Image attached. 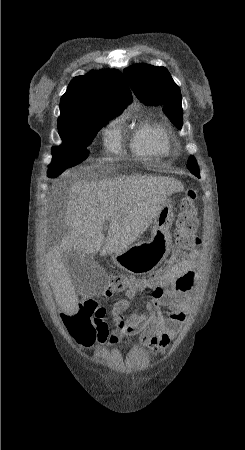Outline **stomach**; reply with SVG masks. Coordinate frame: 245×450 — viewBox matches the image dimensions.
I'll list each match as a JSON object with an SVG mask.
<instances>
[{
	"instance_id": "stomach-1",
	"label": "stomach",
	"mask_w": 245,
	"mask_h": 450,
	"mask_svg": "<svg viewBox=\"0 0 245 450\" xmlns=\"http://www.w3.org/2000/svg\"><path fill=\"white\" fill-rule=\"evenodd\" d=\"M174 213L172 200L166 198L154 219L151 238L114 253L112 260L121 269L135 275L155 270L168 257L172 247L170 228Z\"/></svg>"
}]
</instances>
